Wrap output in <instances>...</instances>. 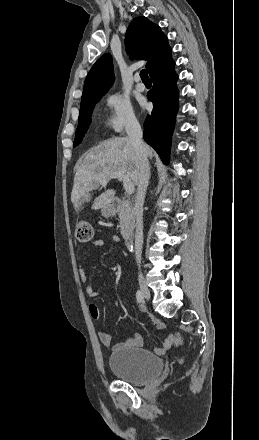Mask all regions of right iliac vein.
<instances>
[{
    "mask_svg": "<svg viewBox=\"0 0 259 440\" xmlns=\"http://www.w3.org/2000/svg\"><path fill=\"white\" fill-rule=\"evenodd\" d=\"M139 286H140V291L143 295V298L148 301L150 299V291H149L147 284H146V281L142 275H139Z\"/></svg>",
    "mask_w": 259,
    "mask_h": 440,
    "instance_id": "right-iliac-vein-1",
    "label": "right iliac vein"
}]
</instances>
